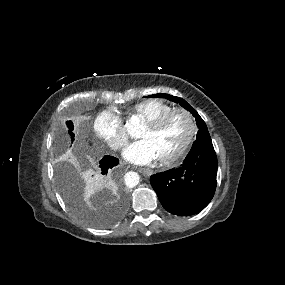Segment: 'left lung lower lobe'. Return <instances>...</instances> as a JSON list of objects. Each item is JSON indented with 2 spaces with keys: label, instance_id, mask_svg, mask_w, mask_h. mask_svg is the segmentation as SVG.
I'll list each match as a JSON object with an SVG mask.
<instances>
[{
  "label": "left lung lower lobe",
  "instance_id": "0a47b994",
  "mask_svg": "<svg viewBox=\"0 0 285 285\" xmlns=\"http://www.w3.org/2000/svg\"><path fill=\"white\" fill-rule=\"evenodd\" d=\"M216 176V153L211 138H205L193 144L180 167L152 175L150 183L168 212L189 216L209 204Z\"/></svg>",
  "mask_w": 285,
  "mask_h": 285
}]
</instances>
